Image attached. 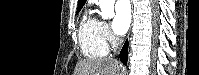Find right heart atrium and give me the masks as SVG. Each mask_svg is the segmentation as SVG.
Masks as SVG:
<instances>
[{
	"label": "right heart atrium",
	"mask_w": 199,
	"mask_h": 75,
	"mask_svg": "<svg viewBox=\"0 0 199 75\" xmlns=\"http://www.w3.org/2000/svg\"><path fill=\"white\" fill-rule=\"evenodd\" d=\"M101 33L106 43H114L115 37L110 29L109 24L104 21L101 22Z\"/></svg>",
	"instance_id": "d8ad5b80"
}]
</instances>
